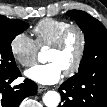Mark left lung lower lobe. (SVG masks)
<instances>
[{
    "label": "left lung lower lobe",
    "mask_w": 107,
    "mask_h": 107,
    "mask_svg": "<svg viewBox=\"0 0 107 107\" xmlns=\"http://www.w3.org/2000/svg\"><path fill=\"white\" fill-rule=\"evenodd\" d=\"M81 88L86 89L84 99L82 101L83 107H107V77L92 76L84 80ZM79 84H74L70 81H65L59 88L63 105L67 107L66 98L75 97L77 94Z\"/></svg>",
    "instance_id": "1"
}]
</instances>
